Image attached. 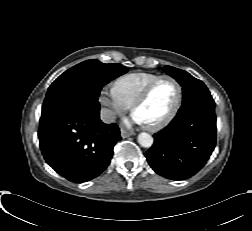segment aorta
<instances>
[{
	"mask_svg": "<svg viewBox=\"0 0 252 231\" xmlns=\"http://www.w3.org/2000/svg\"><path fill=\"white\" fill-rule=\"evenodd\" d=\"M153 137L146 133V132H142L138 135V143L145 148H149L152 146L153 144Z\"/></svg>",
	"mask_w": 252,
	"mask_h": 231,
	"instance_id": "1",
	"label": "aorta"
}]
</instances>
